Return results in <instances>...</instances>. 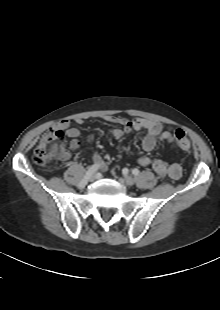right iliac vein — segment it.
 I'll return each mask as SVG.
<instances>
[{
  "instance_id": "1",
  "label": "right iliac vein",
  "mask_w": 220,
  "mask_h": 310,
  "mask_svg": "<svg viewBox=\"0 0 220 310\" xmlns=\"http://www.w3.org/2000/svg\"><path fill=\"white\" fill-rule=\"evenodd\" d=\"M96 179V175L95 174H92L90 177H89V181L90 182H93L94 180Z\"/></svg>"
}]
</instances>
